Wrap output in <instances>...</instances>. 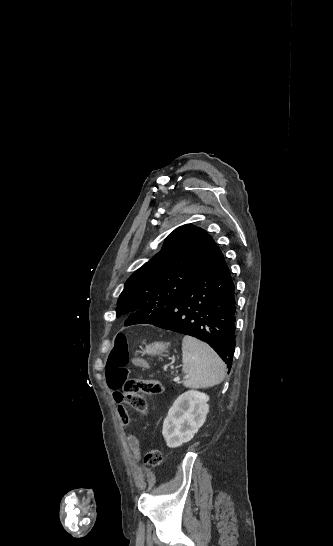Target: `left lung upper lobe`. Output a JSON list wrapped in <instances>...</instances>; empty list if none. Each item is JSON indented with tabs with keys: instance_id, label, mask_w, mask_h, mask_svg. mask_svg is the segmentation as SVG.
I'll list each match as a JSON object with an SVG mask.
<instances>
[{
	"instance_id": "obj_1",
	"label": "left lung upper lobe",
	"mask_w": 333,
	"mask_h": 546,
	"mask_svg": "<svg viewBox=\"0 0 333 546\" xmlns=\"http://www.w3.org/2000/svg\"><path fill=\"white\" fill-rule=\"evenodd\" d=\"M214 245L199 227L187 224L175 229L162 250L126 281L116 315L138 312L143 322H154L191 285Z\"/></svg>"
}]
</instances>
